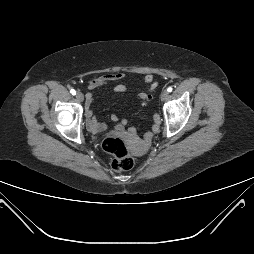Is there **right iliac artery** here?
Wrapping results in <instances>:
<instances>
[{
  "label": "right iliac artery",
  "instance_id": "1",
  "mask_svg": "<svg viewBox=\"0 0 254 254\" xmlns=\"http://www.w3.org/2000/svg\"><path fill=\"white\" fill-rule=\"evenodd\" d=\"M70 93H71L72 95H76V91H75L74 89H71V90H70Z\"/></svg>",
  "mask_w": 254,
  "mask_h": 254
}]
</instances>
